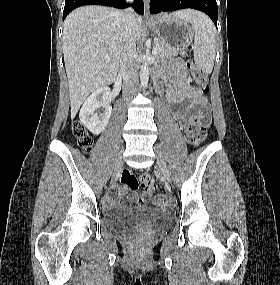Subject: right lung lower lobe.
Masks as SVG:
<instances>
[{
    "label": "right lung lower lobe",
    "instance_id": "1",
    "mask_svg": "<svg viewBox=\"0 0 280 285\" xmlns=\"http://www.w3.org/2000/svg\"><path fill=\"white\" fill-rule=\"evenodd\" d=\"M83 5H104L121 9L127 8L129 6L126 4V0H65L63 20L73 9ZM132 7L139 14L144 13L143 0H134Z\"/></svg>",
    "mask_w": 280,
    "mask_h": 285
}]
</instances>
